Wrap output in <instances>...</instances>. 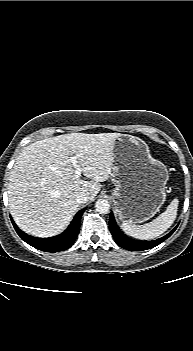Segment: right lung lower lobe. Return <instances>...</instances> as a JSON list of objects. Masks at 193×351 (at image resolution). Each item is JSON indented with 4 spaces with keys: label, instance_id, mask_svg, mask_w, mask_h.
Segmentation results:
<instances>
[{
    "label": "right lung lower lobe",
    "instance_id": "98d812e1",
    "mask_svg": "<svg viewBox=\"0 0 193 351\" xmlns=\"http://www.w3.org/2000/svg\"><path fill=\"white\" fill-rule=\"evenodd\" d=\"M85 208L80 210L74 217L69 227L60 235L50 238H37L30 236L21 231L11 218L13 226L18 235L32 247L45 251V252H58L63 251L72 246L76 240L79 230L81 216L84 213Z\"/></svg>",
    "mask_w": 193,
    "mask_h": 351
}]
</instances>
